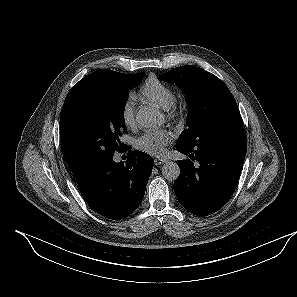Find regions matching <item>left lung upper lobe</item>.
<instances>
[{
    "mask_svg": "<svg viewBox=\"0 0 297 297\" xmlns=\"http://www.w3.org/2000/svg\"><path fill=\"white\" fill-rule=\"evenodd\" d=\"M159 80L175 83L186 96L187 129L176 145L193 149L227 131L243 128L237 103L228 87L215 75L196 66L174 68Z\"/></svg>",
    "mask_w": 297,
    "mask_h": 297,
    "instance_id": "5c2ea615",
    "label": "left lung upper lobe"
}]
</instances>
